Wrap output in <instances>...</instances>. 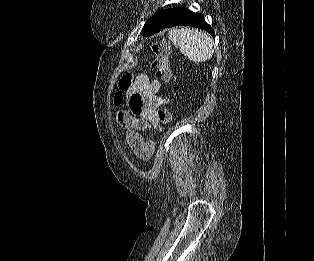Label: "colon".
<instances>
[{
    "instance_id": "5ec220e1",
    "label": "colon",
    "mask_w": 314,
    "mask_h": 261,
    "mask_svg": "<svg viewBox=\"0 0 314 261\" xmlns=\"http://www.w3.org/2000/svg\"><path fill=\"white\" fill-rule=\"evenodd\" d=\"M153 57L150 65L156 68V77L164 82L169 81L172 70L169 61L170 46L165 40L156 41L152 44ZM132 77L130 74L123 76L119 82V88L122 91L130 89L132 86ZM121 99V96L119 97ZM159 121L162 125L170 122V113L166 106V98L161 99V107L157 112Z\"/></svg>"
}]
</instances>
